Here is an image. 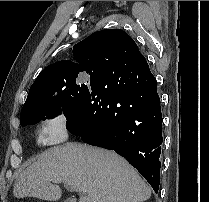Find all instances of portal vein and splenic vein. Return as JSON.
I'll use <instances>...</instances> for the list:
<instances>
[{
  "mask_svg": "<svg viewBox=\"0 0 209 202\" xmlns=\"http://www.w3.org/2000/svg\"><path fill=\"white\" fill-rule=\"evenodd\" d=\"M52 181H53L54 183H61V182H62V181H61L60 179H58V178H54ZM80 192L85 193L86 191H85V190H82V191H80Z\"/></svg>",
  "mask_w": 209,
  "mask_h": 202,
  "instance_id": "1",
  "label": "portal vein and splenic vein"
}]
</instances>
